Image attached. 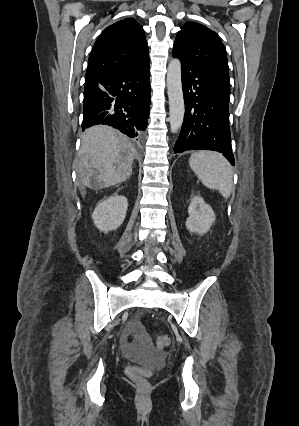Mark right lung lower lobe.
Masks as SVG:
<instances>
[{
    "mask_svg": "<svg viewBox=\"0 0 299 426\" xmlns=\"http://www.w3.org/2000/svg\"><path fill=\"white\" fill-rule=\"evenodd\" d=\"M149 63L85 79L82 128L105 124L139 139L150 111Z\"/></svg>",
    "mask_w": 299,
    "mask_h": 426,
    "instance_id": "1",
    "label": "right lung lower lobe"
}]
</instances>
